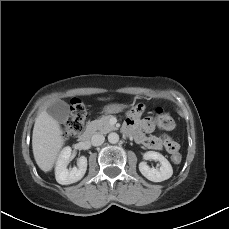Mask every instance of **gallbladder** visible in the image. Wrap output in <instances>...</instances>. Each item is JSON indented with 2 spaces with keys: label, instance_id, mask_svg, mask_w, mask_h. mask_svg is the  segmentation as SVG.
<instances>
[{
  "label": "gallbladder",
  "instance_id": "bac80fb5",
  "mask_svg": "<svg viewBox=\"0 0 229 229\" xmlns=\"http://www.w3.org/2000/svg\"><path fill=\"white\" fill-rule=\"evenodd\" d=\"M47 112L60 123L66 122L70 114L69 105L62 100L51 102L47 108Z\"/></svg>",
  "mask_w": 229,
  "mask_h": 229
}]
</instances>
